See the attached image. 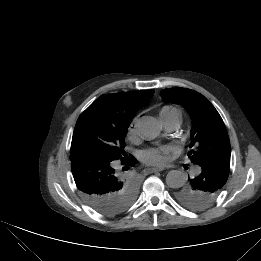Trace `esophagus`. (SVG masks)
I'll use <instances>...</instances> for the list:
<instances>
[{"label":"esophagus","instance_id":"esophagus-1","mask_svg":"<svg viewBox=\"0 0 261 261\" xmlns=\"http://www.w3.org/2000/svg\"><path fill=\"white\" fill-rule=\"evenodd\" d=\"M164 170L163 168H148L144 170V174L156 173Z\"/></svg>","mask_w":261,"mask_h":261}]
</instances>
